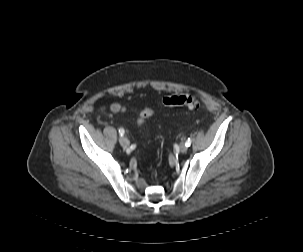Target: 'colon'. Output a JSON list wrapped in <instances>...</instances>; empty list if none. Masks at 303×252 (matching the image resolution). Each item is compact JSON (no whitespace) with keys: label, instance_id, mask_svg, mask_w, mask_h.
<instances>
[{"label":"colon","instance_id":"1","mask_svg":"<svg viewBox=\"0 0 303 252\" xmlns=\"http://www.w3.org/2000/svg\"><path fill=\"white\" fill-rule=\"evenodd\" d=\"M163 106H185L191 110L200 111L203 108L201 102L190 94H175L162 99ZM153 114V110L148 108L143 110L137 120L138 125L144 127L148 119Z\"/></svg>","mask_w":303,"mask_h":252}]
</instances>
